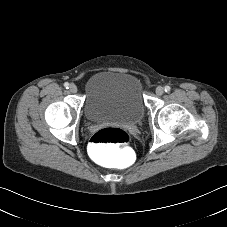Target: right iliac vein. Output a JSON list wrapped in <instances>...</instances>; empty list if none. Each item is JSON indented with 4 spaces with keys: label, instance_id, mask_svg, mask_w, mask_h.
Returning <instances> with one entry per match:
<instances>
[{
    "label": "right iliac vein",
    "instance_id": "obj_1",
    "mask_svg": "<svg viewBox=\"0 0 227 227\" xmlns=\"http://www.w3.org/2000/svg\"><path fill=\"white\" fill-rule=\"evenodd\" d=\"M77 86L75 85V84H71L70 86H69V91L71 92V93H76L77 92Z\"/></svg>",
    "mask_w": 227,
    "mask_h": 227
}]
</instances>
